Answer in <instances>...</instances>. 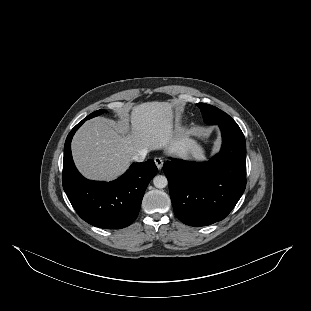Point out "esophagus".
I'll return each mask as SVG.
<instances>
[{
    "label": "esophagus",
    "instance_id": "1",
    "mask_svg": "<svg viewBox=\"0 0 311 311\" xmlns=\"http://www.w3.org/2000/svg\"><path fill=\"white\" fill-rule=\"evenodd\" d=\"M154 162H155V164H156L158 169H162V167H163V160H162V158L155 157L154 158Z\"/></svg>",
    "mask_w": 311,
    "mask_h": 311
}]
</instances>
